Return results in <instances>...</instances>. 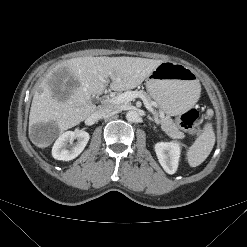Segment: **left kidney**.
<instances>
[{"instance_id": "1", "label": "left kidney", "mask_w": 247, "mask_h": 247, "mask_svg": "<svg viewBox=\"0 0 247 247\" xmlns=\"http://www.w3.org/2000/svg\"><path fill=\"white\" fill-rule=\"evenodd\" d=\"M159 163L168 174H174L178 168L181 147L177 142H160L155 145Z\"/></svg>"}]
</instances>
